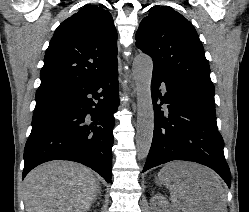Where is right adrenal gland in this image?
Instances as JSON below:
<instances>
[{"mask_svg": "<svg viewBox=\"0 0 249 212\" xmlns=\"http://www.w3.org/2000/svg\"><path fill=\"white\" fill-rule=\"evenodd\" d=\"M98 194H101V192H98ZM96 200H97V198H96ZM96 200H94V202H96ZM94 202H93V204H94Z\"/></svg>", "mask_w": 249, "mask_h": 212, "instance_id": "right-adrenal-gland-1", "label": "right adrenal gland"}]
</instances>
